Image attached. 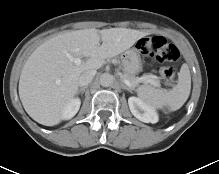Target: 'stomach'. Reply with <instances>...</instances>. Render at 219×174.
<instances>
[{"instance_id": "stomach-1", "label": "stomach", "mask_w": 219, "mask_h": 174, "mask_svg": "<svg viewBox=\"0 0 219 174\" xmlns=\"http://www.w3.org/2000/svg\"><path fill=\"white\" fill-rule=\"evenodd\" d=\"M121 62L123 71L129 75L135 76L142 69L140 50L137 47L127 50L124 53Z\"/></svg>"}]
</instances>
